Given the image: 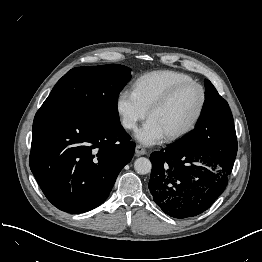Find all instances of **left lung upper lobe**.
<instances>
[{
  "label": "left lung upper lobe",
  "instance_id": "left-lung-upper-lobe-1",
  "mask_svg": "<svg viewBox=\"0 0 262 262\" xmlns=\"http://www.w3.org/2000/svg\"><path fill=\"white\" fill-rule=\"evenodd\" d=\"M205 87V102L195 129L173 144L178 148L220 153L223 140L236 138L234 121L228 103L207 79Z\"/></svg>",
  "mask_w": 262,
  "mask_h": 262
}]
</instances>
